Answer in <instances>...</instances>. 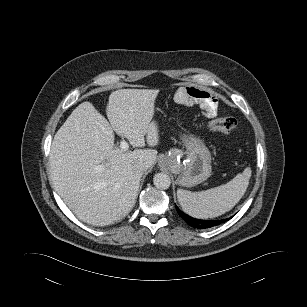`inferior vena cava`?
<instances>
[{
	"label": "inferior vena cava",
	"instance_id": "inferior-vena-cava-1",
	"mask_svg": "<svg viewBox=\"0 0 307 307\" xmlns=\"http://www.w3.org/2000/svg\"><path fill=\"white\" fill-rule=\"evenodd\" d=\"M134 170L139 174H143V172L145 171V164L137 163L136 165H134Z\"/></svg>",
	"mask_w": 307,
	"mask_h": 307
}]
</instances>
